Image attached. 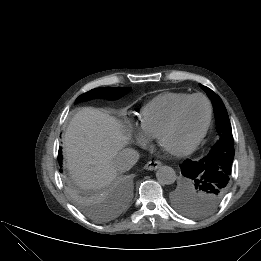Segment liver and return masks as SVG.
Instances as JSON below:
<instances>
[{"instance_id":"6515ba94","label":"liver","mask_w":261,"mask_h":261,"mask_svg":"<svg viewBox=\"0 0 261 261\" xmlns=\"http://www.w3.org/2000/svg\"><path fill=\"white\" fill-rule=\"evenodd\" d=\"M121 124L96 108H81L64 135L66 167L83 189H99L117 176L113 162L128 143Z\"/></svg>"}]
</instances>
